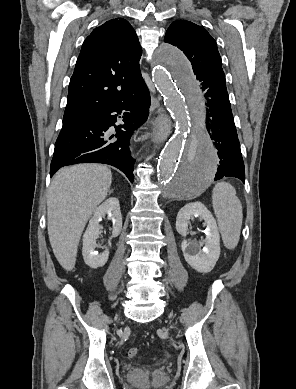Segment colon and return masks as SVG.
<instances>
[{"mask_svg": "<svg viewBox=\"0 0 296 389\" xmlns=\"http://www.w3.org/2000/svg\"><path fill=\"white\" fill-rule=\"evenodd\" d=\"M128 355L130 358H135L138 355V349L137 348H130L128 351Z\"/></svg>", "mask_w": 296, "mask_h": 389, "instance_id": "obj_1", "label": "colon"}]
</instances>
